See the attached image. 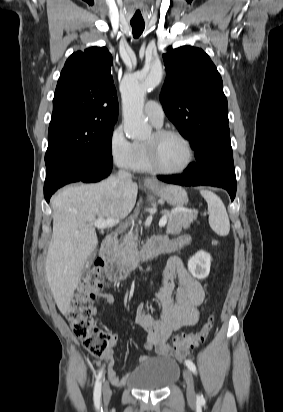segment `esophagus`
<instances>
[{
    "label": "esophagus",
    "instance_id": "1",
    "mask_svg": "<svg viewBox=\"0 0 283 412\" xmlns=\"http://www.w3.org/2000/svg\"><path fill=\"white\" fill-rule=\"evenodd\" d=\"M144 183H145V185L153 186V185H156V180L153 179V178H150V177H146V178L144 179Z\"/></svg>",
    "mask_w": 283,
    "mask_h": 412
}]
</instances>
